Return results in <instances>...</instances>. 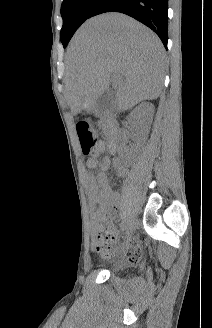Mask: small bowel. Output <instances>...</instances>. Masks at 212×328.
<instances>
[{"label":"small bowel","mask_w":212,"mask_h":328,"mask_svg":"<svg viewBox=\"0 0 212 328\" xmlns=\"http://www.w3.org/2000/svg\"><path fill=\"white\" fill-rule=\"evenodd\" d=\"M106 148V142L100 141L96 146L93 157L87 161V166L96 170L95 175H89L88 177L90 201L98 205L97 210L93 214L95 226L107 219H112L119 209L121 200L120 195L111 188L106 170L113 165L117 176L123 177L127 173V168L119 160H111L109 157H106L100 164L98 163L97 155L104 152ZM94 245H96V241ZM139 252L140 248L136 241H130L125 249V253L131 260H135L139 256Z\"/></svg>","instance_id":"obj_1"}]
</instances>
